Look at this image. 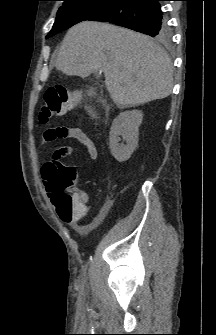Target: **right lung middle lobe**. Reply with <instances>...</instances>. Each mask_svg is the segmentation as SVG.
<instances>
[{
	"label": "right lung middle lobe",
	"instance_id": "obj_1",
	"mask_svg": "<svg viewBox=\"0 0 216 335\" xmlns=\"http://www.w3.org/2000/svg\"><path fill=\"white\" fill-rule=\"evenodd\" d=\"M63 5L57 12L52 30L46 38L79 23L89 20L116 0H63ZM169 37L168 28L163 34L155 37L157 40H166Z\"/></svg>",
	"mask_w": 216,
	"mask_h": 335
}]
</instances>
